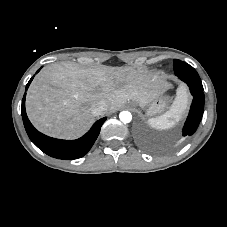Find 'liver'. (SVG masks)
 <instances>
[{"label":"liver","mask_w":227,"mask_h":227,"mask_svg":"<svg viewBox=\"0 0 227 227\" xmlns=\"http://www.w3.org/2000/svg\"><path fill=\"white\" fill-rule=\"evenodd\" d=\"M169 84L160 76L131 67L80 68L58 63L44 68L31 83L26 112L42 133L74 139L84 134L95 116L91 109L99 101L108 104L106 113L126 101L146 104L163 95ZM184 94L179 88L178 95Z\"/></svg>","instance_id":"1"}]
</instances>
